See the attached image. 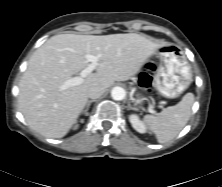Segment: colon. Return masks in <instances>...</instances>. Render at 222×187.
I'll use <instances>...</instances> for the list:
<instances>
[{"label":"colon","instance_id":"5ec220e1","mask_svg":"<svg viewBox=\"0 0 222 187\" xmlns=\"http://www.w3.org/2000/svg\"><path fill=\"white\" fill-rule=\"evenodd\" d=\"M153 69H149L148 72L144 73L143 78L141 80L142 86L149 87L150 86V75L152 73Z\"/></svg>","mask_w":222,"mask_h":187}]
</instances>
